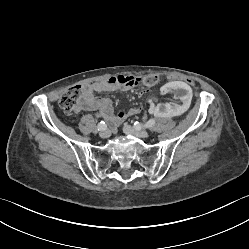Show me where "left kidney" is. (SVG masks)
Segmentation results:
<instances>
[{
    "mask_svg": "<svg viewBox=\"0 0 249 249\" xmlns=\"http://www.w3.org/2000/svg\"><path fill=\"white\" fill-rule=\"evenodd\" d=\"M161 95L166 100L173 99L170 103H154L149 111L154 116L183 115L191 107L193 94L190 84L182 79L176 81H165L160 86Z\"/></svg>",
    "mask_w": 249,
    "mask_h": 249,
    "instance_id": "1",
    "label": "left kidney"
}]
</instances>
